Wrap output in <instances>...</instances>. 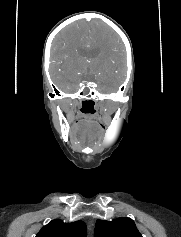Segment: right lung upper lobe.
Masks as SVG:
<instances>
[{"mask_svg": "<svg viewBox=\"0 0 181 237\" xmlns=\"http://www.w3.org/2000/svg\"><path fill=\"white\" fill-rule=\"evenodd\" d=\"M87 227L83 221L64 223L62 220H52L45 225L36 237H86Z\"/></svg>", "mask_w": 181, "mask_h": 237, "instance_id": "cb5924a9", "label": "right lung upper lobe"}]
</instances>
